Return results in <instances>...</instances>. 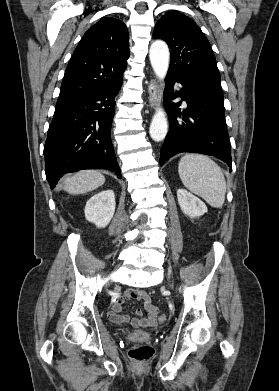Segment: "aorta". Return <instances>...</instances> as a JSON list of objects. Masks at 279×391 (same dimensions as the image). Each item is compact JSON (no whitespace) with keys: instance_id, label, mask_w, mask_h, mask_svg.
<instances>
[{"instance_id":"762f6f07","label":"aorta","mask_w":279,"mask_h":391,"mask_svg":"<svg viewBox=\"0 0 279 391\" xmlns=\"http://www.w3.org/2000/svg\"><path fill=\"white\" fill-rule=\"evenodd\" d=\"M149 58L156 76L163 80L166 77L170 60L167 44L160 40L153 42L150 46ZM167 130L166 113L162 108H159L156 110L150 124V136L154 141H162L167 134Z\"/></svg>"}]
</instances>
